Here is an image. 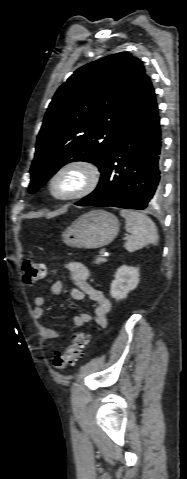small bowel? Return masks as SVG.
<instances>
[{"label":"small bowel","mask_w":187,"mask_h":479,"mask_svg":"<svg viewBox=\"0 0 187 479\" xmlns=\"http://www.w3.org/2000/svg\"><path fill=\"white\" fill-rule=\"evenodd\" d=\"M66 269L70 274L75 288L69 292V297L73 301H82L88 297L94 304V320L95 323L104 327L107 324V316L111 311V302L106 295L91 286L89 283L88 269L78 262H71L66 265ZM64 285L61 280H56L51 286V294L53 296L60 295L63 292ZM33 316L36 320L41 321L44 317V305L46 304V297L39 295L34 299ZM92 320L89 313H80L73 317L72 321L76 327L82 328ZM41 331L43 337L48 344L52 345L57 339L58 333L49 327L42 326Z\"/></svg>","instance_id":"1"}]
</instances>
